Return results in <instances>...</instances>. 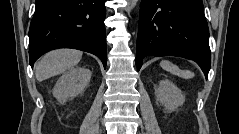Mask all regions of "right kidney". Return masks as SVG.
<instances>
[{"label":"right kidney","instance_id":"right-kidney-1","mask_svg":"<svg viewBox=\"0 0 239 134\" xmlns=\"http://www.w3.org/2000/svg\"><path fill=\"white\" fill-rule=\"evenodd\" d=\"M91 71L84 67H75L64 73L56 82L53 95L64 104L68 97H76L88 86Z\"/></svg>","mask_w":239,"mask_h":134}]
</instances>
